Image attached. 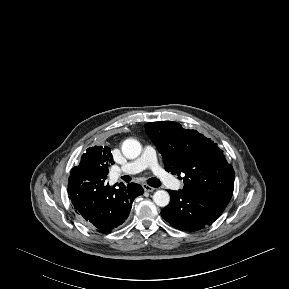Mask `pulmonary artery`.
I'll return each mask as SVG.
<instances>
[{
  "instance_id": "1",
  "label": "pulmonary artery",
  "mask_w": 289,
  "mask_h": 289,
  "mask_svg": "<svg viewBox=\"0 0 289 289\" xmlns=\"http://www.w3.org/2000/svg\"><path fill=\"white\" fill-rule=\"evenodd\" d=\"M147 168L151 169L152 172L164 182L169 183V176L160 166L157 159L156 151L150 145L144 147V150L140 157L121 167L114 168L113 173L114 175H118L120 173L136 174Z\"/></svg>"
}]
</instances>
